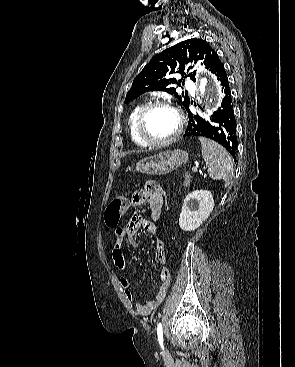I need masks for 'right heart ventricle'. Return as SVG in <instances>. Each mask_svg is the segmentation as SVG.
I'll use <instances>...</instances> for the list:
<instances>
[{"mask_svg": "<svg viewBox=\"0 0 295 367\" xmlns=\"http://www.w3.org/2000/svg\"><path fill=\"white\" fill-rule=\"evenodd\" d=\"M142 104H138L136 105L130 112L129 116H128V130H129V135L131 137V140L139 147H146L147 144H145L137 135L136 132V119H137V115L140 111V109L142 108Z\"/></svg>", "mask_w": 295, "mask_h": 367, "instance_id": "e07e8e85", "label": "right heart ventricle"}]
</instances>
